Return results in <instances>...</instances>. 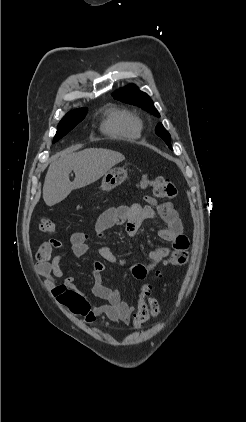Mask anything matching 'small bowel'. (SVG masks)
Segmentation results:
<instances>
[{
    "mask_svg": "<svg viewBox=\"0 0 246 422\" xmlns=\"http://www.w3.org/2000/svg\"><path fill=\"white\" fill-rule=\"evenodd\" d=\"M145 204H133L111 207L104 211L97 220L96 233L103 238L107 230L115 226H124L128 236L137 235L144 220L154 219L159 216L165 226L158 230L159 237L170 242L172 248L158 246L152 249L148 255L147 264H134L131 266L132 275L136 279H144L148 272L170 256L174 250L187 252L189 241L183 231V225L178 217L173 204L170 202L159 204L152 196L144 197ZM71 250L77 257L83 256L89 251L88 234L75 232L70 237ZM57 239H50L43 243L36 253V270L44 277L46 286L51 290L53 297L72 313L84 318L85 322L92 323L100 315H105L114 322L128 324L134 311V307L121 299L117 289L105 285L103 278L104 264L100 261L94 263L95 283L92 288L93 294L106 301L102 305H91L87 298L78 290L75 279L72 276L64 278V270L61 262L66 256L65 251L53 255V251L61 247ZM99 254L109 263L123 266L125 260L117 257L109 247L103 246Z\"/></svg>",
    "mask_w": 246,
    "mask_h": 422,
    "instance_id": "1",
    "label": "small bowel"
}]
</instances>
